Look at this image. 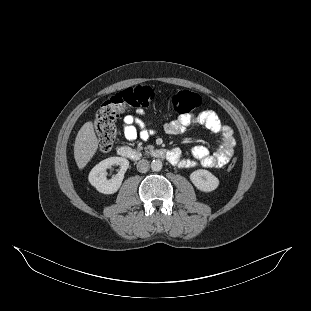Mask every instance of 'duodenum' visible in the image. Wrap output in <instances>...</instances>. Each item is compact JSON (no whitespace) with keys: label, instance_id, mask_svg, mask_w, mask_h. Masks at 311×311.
<instances>
[{"label":"duodenum","instance_id":"410a0bca","mask_svg":"<svg viewBox=\"0 0 311 311\" xmlns=\"http://www.w3.org/2000/svg\"><path fill=\"white\" fill-rule=\"evenodd\" d=\"M118 155L123 158L138 161L145 156H151L158 159H165L169 162L174 160V154L171 150L164 148H150L145 151H139L130 147L122 146L117 149Z\"/></svg>","mask_w":311,"mask_h":311}]
</instances>
